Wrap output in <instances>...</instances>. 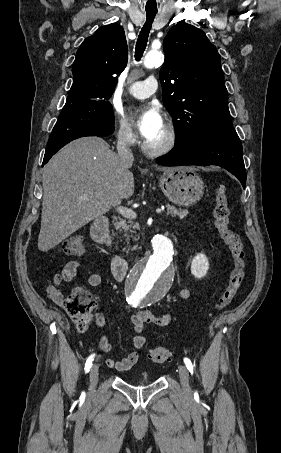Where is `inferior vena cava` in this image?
<instances>
[{"mask_svg": "<svg viewBox=\"0 0 281 453\" xmlns=\"http://www.w3.org/2000/svg\"><path fill=\"white\" fill-rule=\"evenodd\" d=\"M129 142H131V140L130 138H127L125 132L118 134L117 152L119 156H121V160H123V162H129V164H132L134 158L133 152H131V148H129Z\"/></svg>", "mask_w": 281, "mask_h": 453, "instance_id": "inferior-vena-cava-1", "label": "inferior vena cava"}]
</instances>
